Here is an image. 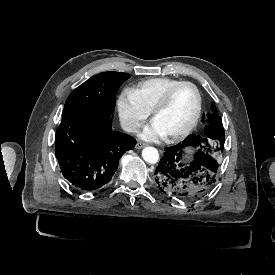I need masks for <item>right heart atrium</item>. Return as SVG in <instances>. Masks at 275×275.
Masks as SVG:
<instances>
[{
    "label": "right heart atrium",
    "mask_w": 275,
    "mask_h": 275,
    "mask_svg": "<svg viewBox=\"0 0 275 275\" xmlns=\"http://www.w3.org/2000/svg\"><path fill=\"white\" fill-rule=\"evenodd\" d=\"M119 116L123 126L129 132L141 127L150 115L133 90H125L118 100Z\"/></svg>",
    "instance_id": "d8ad5b80"
}]
</instances>
